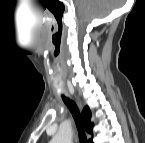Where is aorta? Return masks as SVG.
<instances>
[{
  "mask_svg": "<svg viewBox=\"0 0 145 143\" xmlns=\"http://www.w3.org/2000/svg\"><path fill=\"white\" fill-rule=\"evenodd\" d=\"M71 132L69 131H59L52 139L53 143H70L71 142Z\"/></svg>",
  "mask_w": 145,
  "mask_h": 143,
  "instance_id": "1",
  "label": "aorta"
}]
</instances>
